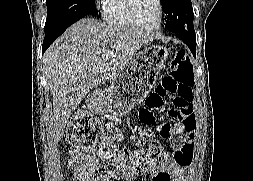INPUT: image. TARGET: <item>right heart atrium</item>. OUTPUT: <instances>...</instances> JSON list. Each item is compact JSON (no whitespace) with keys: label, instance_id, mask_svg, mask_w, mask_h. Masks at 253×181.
<instances>
[{"label":"right heart atrium","instance_id":"obj_1","mask_svg":"<svg viewBox=\"0 0 253 181\" xmlns=\"http://www.w3.org/2000/svg\"><path fill=\"white\" fill-rule=\"evenodd\" d=\"M105 0H96V3L97 5H102L103 6V3H104Z\"/></svg>","mask_w":253,"mask_h":181}]
</instances>
